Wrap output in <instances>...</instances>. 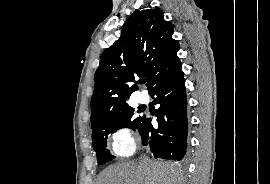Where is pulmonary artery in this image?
<instances>
[{"mask_svg":"<svg viewBox=\"0 0 270 184\" xmlns=\"http://www.w3.org/2000/svg\"><path fill=\"white\" fill-rule=\"evenodd\" d=\"M138 100L140 103H147L148 102V95L145 93H140L138 95Z\"/></svg>","mask_w":270,"mask_h":184,"instance_id":"obj_1","label":"pulmonary artery"}]
</instances>
